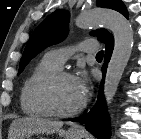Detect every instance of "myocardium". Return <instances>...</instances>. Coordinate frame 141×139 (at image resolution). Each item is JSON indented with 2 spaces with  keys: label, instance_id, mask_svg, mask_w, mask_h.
<instances>
[{
  "label": "myocardium",
  "instance_id": "myocardium-1",
  "mask_svg": "<svg viewBox=\"0 0 141 139\" xmlns=\"http://www.w3.org/2000/svg\"><path fill=\"white\" fill-rule=\"evenodd\" d=\"M74 77V75L68 71L58 70L50 75L42 84L40 88L41 102L49 115L54 117H70L78 114L86 105V99L73 109L60 110L56 107L54 102V89L56 84L63 78Z\"/></svg>",
  "mask_w": 141,
  "mask_h": 139
}]
</instances>
